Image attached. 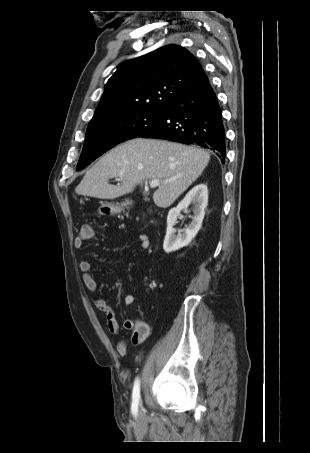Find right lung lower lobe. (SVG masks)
Masks as SVG:
<instances>
[{
  "label": "right lung lower lobe",
  "instance_id": "1",
  "mask_svg": "<svg viewBox=\"0 0 310 453\" xmlns=\"http://www.w3.org/2000/svg\"><path fill=\"white\" fill-rule=\"evenodd\" d=\"M139 137L197 144L225 161L226 144L222 112L205 75L191 90L167 105L159 121Z\"/></svg>",
  "mask_w": 310,
  "mask_h": 453
}]
</instances>
